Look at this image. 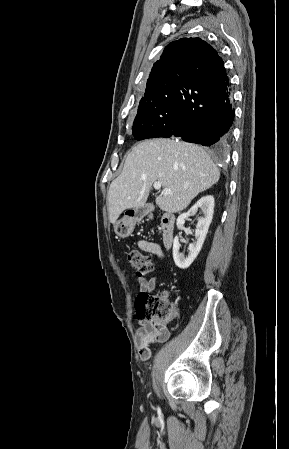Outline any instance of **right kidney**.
I'll return each instance as SVG.
<instances>
[{"mask_svg": "<svg viewBox=\"0 0 289 449\" xmlns=\"http://www.w3.org/2000/svg\"><path fill=\"white\" fill-rule=\"evenodd\" d=\"M199 209L202 210L204 216L200 218L197 223L195 230L196 241L189 245L188 256L185 257L183 253H180L181 245L179 243V237L176 236L173 241V259L176 266L180 269H187L196 259L203 246L206 234L213 218L214 197L212 195H206L198 200L187 213H183L177 218V227H182L185 223V219L191 216V214L196 213Z\"/></svg>", "mask_w": 289, "mask_h": 449, "instance_id": "obj_1", "label": "right kidney"}]
</instances>
